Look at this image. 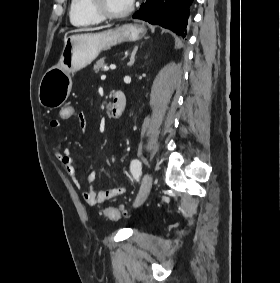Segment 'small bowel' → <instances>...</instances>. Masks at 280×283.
Returning a JSON list of instances; mask_svg holds the SVG:
<instances>
[{
	"label": "small bowel",
	"instance_id": "c3829d8e",
	"mask_svg": "<svg viewBox=\"0 0 280 283\" xmlns=\"http://www.w3.org/2000/svg\"><path fill=\"white\" fill-rule=\"evenodd\" d=\"M74 116L76 117V120L78 121L80 127L84 129L87 123L86 116L83 113L73 112L72 117ZM60 121L61 119H52L50 121V127L53 129L59 128L61 125ZM54 156L61 163L62 167L64 168L66 173L71 177L74 184L78 188H81V180L76 171L75 162L72 157L71 150L69 148H64L62 150L55 149ZM115 158L116 155L113 154L112 159L115 160ZM95 179V172H89L85 177V180L89 184V188L87 190L82 191V197L84 201L91 207H96L111 198L122 195L125 192V189L121 187L96 191L93 186Z\"/></svg>",
	"mask_w": 280,
	"mask_h": 283
}]
</instances>
